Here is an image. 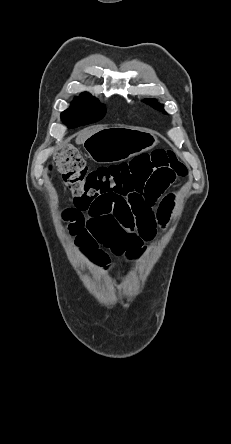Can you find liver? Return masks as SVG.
<instances>
[{
  "label": "liver",
  "instance_id": "liver-1",
  "mask_svg": "<svg viewBox=\"0 0 231 444\" xmlns=\"http://www.w3.org/2000/svg\"><path fill=\"white\" fill-rule=\"evenodd\" d=\"M102 129H103L102 126H95V127H89V128H86V129L80 131L77 134L76 143L83 144L87 138H89L91 135H93L94 133H96Z\"/></svg>",
  "mask_w": 231,
  "mask_h": 444
}]
</instances>
